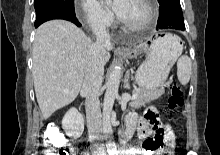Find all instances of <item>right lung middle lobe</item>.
Masks as SVG:
<instances>
[{
    "label": "right lung middle lobe",
    "mask_w": 220,
    "mask_h": 155,
    "mask_svg": "<svg viewBox=\"0 0 220 155\" xmlns=\"http://www.w3.org/2000/svg\"><path fill=\"white\" fill-rule=\"evenodd\" d=\"M36 18L55 11L75 14L74 0H34Z\"/></svg>",
    "instance_id": "obj_1"
}]
</instances>
